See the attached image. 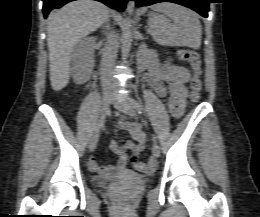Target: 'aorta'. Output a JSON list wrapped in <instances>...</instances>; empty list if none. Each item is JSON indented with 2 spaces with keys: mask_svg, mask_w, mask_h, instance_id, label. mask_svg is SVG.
<instances>
[{
  "mask_svg": "<svg viewBox=\"0 0 260 217\" xmlns=\"http://www.w3.org/2000/svg\"><path fill=\"white\" fill-rule=\"evenodd\" d=\"M131 7V3L129 2L127 4V9ZM132 24L129 18H126L122 25V50H123V57H125V54L127 51H129L132 43Z\"/></svg>",
  "mask_w": 260,
  "mask_h": 217,
  "instance_id": "obj_1",
  "label": "aorta"
}]
</instances>
